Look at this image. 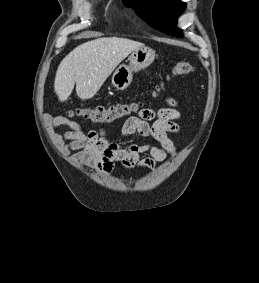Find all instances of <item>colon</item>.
<instances>
[{
  "instance_id": "1",
  "label": "colon",
  "mask_w": 259,
  "mask_h": 283,
  "mask_svg": "<svg viewBox=\"0 0 259 283\" xmlns=\"http://www.w3.org/2000/svg\"><path fill=\"white\" fill-rule=\"evenodd\" d=\"M194 72V66L186 61L177 62L172 68V75H190ZM135 102H119L108 106L79 107L70 111V116H80L94 123H111L120 120L139 108Z\"/></svg>"
}]
</instances>
